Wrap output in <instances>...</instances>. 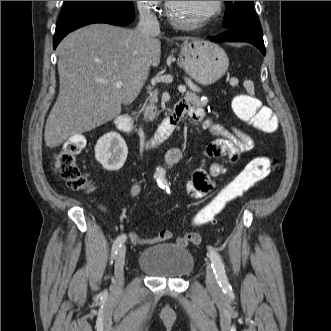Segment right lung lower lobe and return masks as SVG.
Segmentation results:
<instances>
[{"mask_svg":"<svg viewBox=\"0 0 331 331\" xmlns=\"http://www.w3.org/2000/svg\"><path fill=\"white\" fill-rule=\"evenodd\" d=\"M135 13L132 2L119 5L97 7L69 18L58 20L53 38V47L69 32L94 23H108L116 26H125L134 20Z\"/></svg>","mask_w":331,"mask_h":331,"instance_id":"obj_1","label":"right lung lower lobe"}]
</instances>
